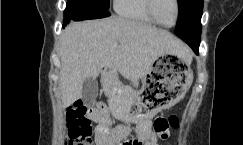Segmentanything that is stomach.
Wrapping results in <instances>:
<instances>
[{"instance_id": "stomach-1", "label": "stomach", "mask_w": 243, "mask_h": 145, "mask_svg": "<svg viewBox=\"0 0 243 145\" xmlns=\"http://www.w3.org/2000/svg\"><path fill=\"white\" fill-rule=\"evenodd\" d=\"M167 55L152 64L142 80L139 94H122V87L111 78L103 81L104 90L110 95L109 103L119 106L114 107L113 116L125 122H137L156 116L185 95L193 81L191 55Z\"/></svg>"}]
</instances>
